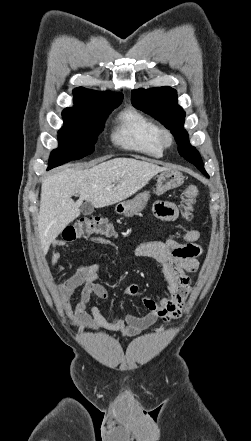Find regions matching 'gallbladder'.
Listing matches in <instances>:
<instances>
[{
  "label": "gallbladder",
  "instance_id": "obj_1",
  "mask_svg": "<svg viewBox=\"0 0 251 441\" xmlns=\"http://www.w3.org/2000/svg\"><path fill=\"white\" fill-rule=\"evenodd\" d=\"M93 211H94V207L89 201H86L81 205V212L83 215L85 216L90 215L93 213Z\"/></svg>",
  "mask_w": 251,
  "mask_h": 441
}]
</instances>
